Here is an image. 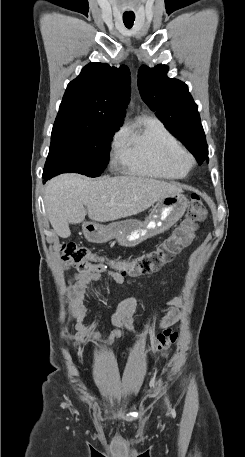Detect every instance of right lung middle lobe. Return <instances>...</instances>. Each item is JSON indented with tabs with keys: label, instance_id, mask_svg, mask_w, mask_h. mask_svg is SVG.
Segmentation results:
<instances>
[{
	"label": "right lung middle lobe",
	"instance_id": "obj_1",
	"mask_svg": "<svg viewBox=\"0 0 245 457\" xmlns=\"http://www.w3.org/2000/svg\"><path fill=\"white\" fill-rule=\"evenodd\" d=\"M123 122L74 115H57L43 178L64 172L97 177L104 171L110 140Z\"/></svg>",
	"mask_w": 245,
	"mask_h": 457
}]
</instances>
